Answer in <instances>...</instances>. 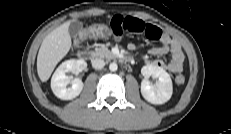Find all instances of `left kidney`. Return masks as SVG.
I'll list each match as a JSON object with an SVG mask.
<instances>
[{
    "label": "left kidney",
    "mask_w": 231,
    "mask_h": 134,
    "mask_svg": "<svg viewBox=\"0 0 231 134\" xmlns=\"http://www.w3.org/2000/svg\"><path fill=\"white\" fill-rule=\"evenodd\" d=\"M141 74L144 79L141 82V94L145 100L152 104H163L167 102L173 93V85L170 75L161 67L154 64H147L142 67ZM157 79L152 85L150 77Z\"/></svg>",
    "instance_id": "obj_1"
}]
</instances>
